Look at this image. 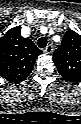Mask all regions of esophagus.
Returning <instances> with one entry per match:
<instances>
[{
	"label": "esophagus",
	"instance_id": "esophagus-1",
	"mask_svg": "<svg viewBox=\"0 0 81 124\" xmlns=\"http://www.w3.org/2000/svg\"><path fill=\"white\" fill-rule=\"evenodd\" d=\"M52 51H53V46L51 44H48L44 49V52L47 54H51Z\"/></svg>",
	"mask_w": 81,
	"mask_h": 124
}]
</instances>
